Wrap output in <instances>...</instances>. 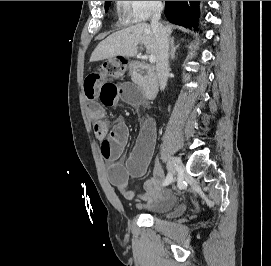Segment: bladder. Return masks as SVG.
<instances>
[{
  "mask_svg": "<svg viewBox=\"0 0 271 266\" xmlns=\"http://www.w3.org/2000/svg\"><path fill=\"white\" fill-rule=\"evenodd\" d=\"M189 208H190V203L186 202V203L179 205L178 207H176L174 209L168 210V212H175L176 214H181V213L187 211Z\"/></svg>",
  "mask_w": 271,
  "mask_h": 266,
  "instance_id": "obj_1",
  "label": "bladder"
}]
</instances>
